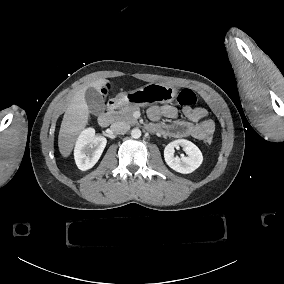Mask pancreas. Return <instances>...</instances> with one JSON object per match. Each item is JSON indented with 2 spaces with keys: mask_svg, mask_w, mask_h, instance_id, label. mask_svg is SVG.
<instances>
[{
  "mask_svg": "<svg viewBox=\"0 0 284 284\" xmlns=\"http://www.w3.org/2000/svg\"><path fill=\"white\" fill-rule=\"evenodd\" d=\"M136 111H140V108L134 105H125L119 111H111L110 114L114 117L115 121H123L130 125L138 124L133 114Z\"/></svg>",
  "mask_w": 284,
  "mask_h": 284,
  "instance_id": "obj_1",
  "label": "pancreas"
}]
</instances>
